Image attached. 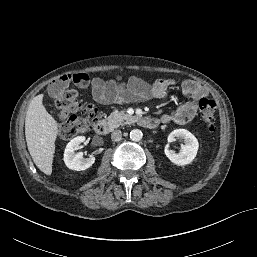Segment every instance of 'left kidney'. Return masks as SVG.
I'll use <instances>...</instances> for the list:
<instances>
[{"label": "left kidney", "mask_w": 257, "mask_h": 257, "mask_svg": "<svg viewBox=\"0 0 257 257\" xmlns=\"http://www.w3.org/2000/svg\"><path fill=\"white\" fill-rule=\"evenodd\" d=\"M183 139L185 144L181 146L179 153H174L169 150V146L165 147V155L169 160L178 165L184 166L190 164L197 155L199 143L196 137L186 129H176L168 136V142H173L175 139Z\"/></svg>", "instance_id": "1"}]
</instances>
